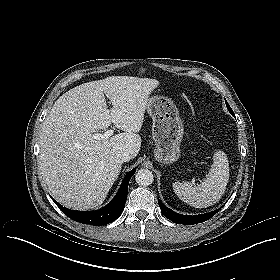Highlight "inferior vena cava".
Returning <instances> with one entry per match:
<instances>
[{"label":"inferior vena cava","instance_id":"inferior-vena-cava-1","mask_svg":"<svg viewBox=\"0 0 280 280\" xmlns=\"http://www.w3.org/2000/svg\"><path fill=\"white\" fill-rule=\"evenodd\" d=\"M120 159L122 162H128L132 159V155L129 152L125 151L121 154Z\"/></svg>","mask_w":280,"mask_h":280}]
</instances>
